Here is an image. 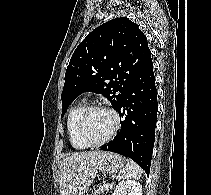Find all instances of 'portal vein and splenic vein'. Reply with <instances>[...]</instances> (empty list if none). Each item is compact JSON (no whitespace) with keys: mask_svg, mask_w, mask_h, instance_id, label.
I'll list each match as a JSON object with an SVG mask.
<instances>
[{"mask_svg":"<svg viewBox=\"0 0 211 195\" xmlns=\"http://www.w3.org/2000/svg\"><path fill=\"white\" fill-rule=\"evenodd\" d=\"M107 186H108V188H112L113 185L112 184H108Z\"/></svg>","mask_w":211,"mask_h":195,"instance_id":"obj_1","label":"portal vein and splenic vein"}]
</instances>
